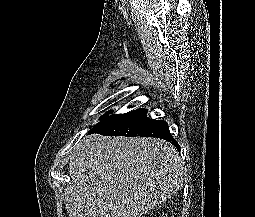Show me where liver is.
<instances>
[{"instance_id": "liver-1", "label": "liver", "mask_w": 255, "mask_h": 217, "mask_svg": "<svg viewBox=\"0 0 255 217\" xmlns=\"http://www.w3.org/2000/svg\"><path fill=\"white\" fill-rule=\"evenodd\" d=\"M69 217H141L182 187L183 163L157 138L85 136L69 162Z\"/></svg>"}]
</instances>
